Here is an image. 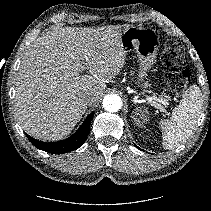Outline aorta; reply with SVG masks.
Masks as SVG:
<instances>
[{"instance_id": "1", "label": "aorta", "mask_w": 211, "mask_h": 211, "mask_svg": "<svg viewBox=\"0 0 211 211\" xmlns=\"http://www.w3.org/2000/svg\"><path fill=\"white\" fill-rule=\"evenodd\" d=\"M103 108L108 112H117L122 106V100L117 94H109L103 99Z\"/></svg>"}]
</instances>
